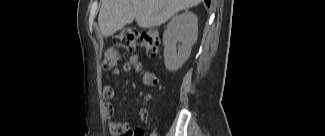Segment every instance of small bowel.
Returning a JSON list of instances; mask_svg holds the SVG:
<instances>
[{"label": "small bowel", "instance_id": "obj_1", "mask_svg": "<svg viewBox=\"0 0 325 136\" xmlns=\"http://www.w3.org/2000/svg\"><path fill=\"white\" fill-rule=\"evenodd\" d=\"M135 70L140 73L142 81L148 86H156L160 82V78L156 73L143 70V60L139 55H133L128 60L124 61L121 67L110 74L115 76L120 73L129 72ZM103 94L106 98H112L114 95L111 86L107 85L103 89ZM105 114L108 118V130L111 135H125L130 129H132L127 122H115L113 121L114 108L111 104L105 105ZM139 118L143 121L148 118V110L146 108H140L138 110ZM140 131V130H139ZM140 135L142 132L140 131Z\"/></svg>", "mask_w": 325, "mask_h": 136}]
</instances>
